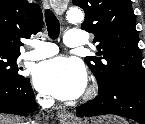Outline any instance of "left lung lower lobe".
I'll return each mask as SVG.
<instances>
[{"label": "left lung lower lobe", "instance_id": "left-lung-lower-lobe-1", "mask_svg": "<svg viewBox=\"0 0 145 124\" xmlns=\"http://www.w3.org/2000/svg\"><path fill=\"white\" fill-rule=\"evenodd\" d=\"M114 114L145 124V86L131 81L111 85L87 104L76 108L78 117Z\"/></svg>", "mask_w": 145, "mask_h": 124}]
</instances>
